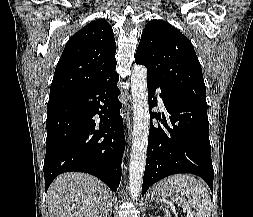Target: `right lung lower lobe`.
I'll list each match as a JSON object with an SVG mask.
<instances>
[{
	"mask_svg": "<svg viewBox=\"0 0 253 217\" xmlns=\"http://www.w3.org/2000/svg\"><path fill=\"white\" fill-rule=\"evenodd\" d=\"M118 79L114 72L88 89L48 101L46 190L56 176L69 171L92 174L113 191L119 187L125 138Z\"/></svg>",
	"mask_w": 253,
	"mask_h": 217,
	"instance_id": "1",
	"label": "right lung lower lobe"
}]
</instances>
